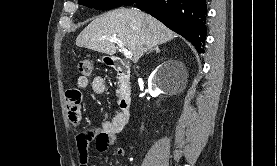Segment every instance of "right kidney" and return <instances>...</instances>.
Instances as JSON below:
<instances>
[{
  "mask_svg": "<svg viewBox=\"0 0 277 166\" xmlns=\"http://www.w3.org/2000/svg\"><path fill=\"white\" fill-rule=\"evenodd\" d=\"M160 69L161 66L154 71L148 79V89L152 97H157L159 94L163 93L162 88L164 83L162 81Z\"/></svg>",
  "mask_w": 277,
  "mask_h": 166,
  "instance_id": "ca27d5eb",
  "label": "right kidney"
}]
</instances>
